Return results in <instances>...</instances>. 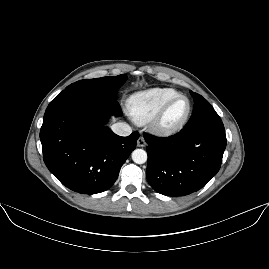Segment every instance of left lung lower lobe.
Wrapping results in <instances>:
<instances>
[{
    "label": "left lung lower lobe",
    "instance_id": "obj_1",
    "mask_svg": "<svg viewBox=\"0 0 269 269\" xmlns=\"http://www.w3.org/2000/svg\"><path fill=\"white\" fill-rule=\"evenodd\" d=\"M144 138L147 180L167 196H185L204 187L219 171L227 143L222 121L184 127L168 138L149 134Z\"/></svg>",
    "mask_w": 269,
    "mask_h": 269
}]
</instances>
